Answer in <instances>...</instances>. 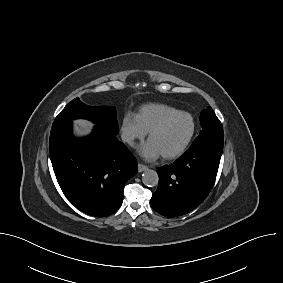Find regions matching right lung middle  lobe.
<instances>
[{"label":"right lung middle lobe","mask_w":283,"mask_h":283,"mask_svg":"<svg viewBox=\"0 0 283 283\" xmlns=\"http://www.w3.org/2000/svg\"><path fill=\"white\" fill-rule=\"evenodd\" d=\"M77 118L91 120L97 127L111 134H118V122L116 109L112 106H88L79 98L73 99L58 114L54 122L72 121Z\"/></svg>","instance_id":"right-lung-middle-lobe-1"}]
</instances>
